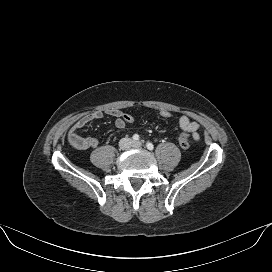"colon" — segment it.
Listing matches in <instances>:
<instances>
[{"label":"colon","mask_w":272,"mask_h":272,"mask_svg":"<svg viewBox=\"0 0 272 272\" xmlns=\"http://www.w3.org/2000/svg\"><path fill=\"white\" fill-rule=\"evenodd\" d=\"M159 115L163 119H169L172 116L171 112L168 110H161L159 112ZM122 118L126 124H131L134 122V117L130 114L123 113ZM189 138H190L189 133H187L185 131L180 133V135L178 137V144L182 149H187L189 147V145H190Z\"/></svg>","instance_id":"5ec220e1"}]
</instances>
